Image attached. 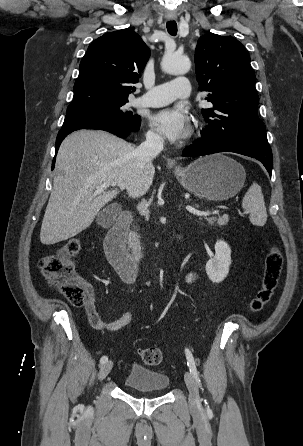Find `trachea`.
<instances>
[{"label":"trachea","instance_id":"trachea-1","mask_svg":"<svg viewBox=\"0 0 303 446\" xmlns=\"http://www.w3.org/2000/svg\"><path fill=\"white\" fill-rule=\"evenodd\" d=\"M166 27L168 33L171 34L172 36H175L177 34V24L175 21L167 22Z\"/></svg>","mask_w":303,"mask_h":446}]
</instances>
